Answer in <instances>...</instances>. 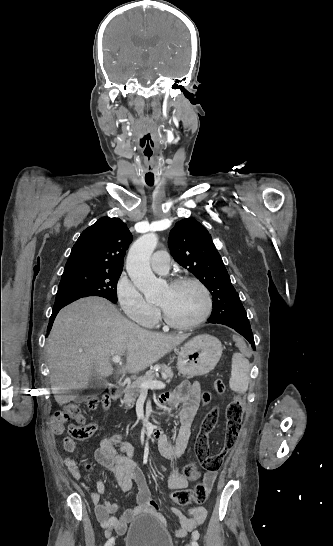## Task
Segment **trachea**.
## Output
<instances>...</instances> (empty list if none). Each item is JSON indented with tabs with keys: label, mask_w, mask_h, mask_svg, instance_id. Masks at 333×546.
I'll return each mask as SVG.
<instances>
[{
	"label": "trachea",
	"mask_w": 333,
	"mask_h": 546,
	"mask_svg": "<svg viewBox=\"0 0 333 546\" xmlns=\"http://www.w3.org/2000/svg\"><path fill=\"white\" fill-rule=\"evenodd\" d=\"M149 174H150L151 176H154V174H153V173H149ZM148 185H149V186H153V184H152V183H148Z\"/></svg>",
	"instance_id": "1"
}]
</instances>
